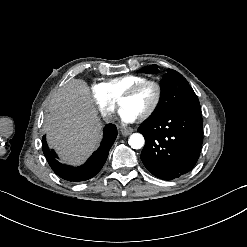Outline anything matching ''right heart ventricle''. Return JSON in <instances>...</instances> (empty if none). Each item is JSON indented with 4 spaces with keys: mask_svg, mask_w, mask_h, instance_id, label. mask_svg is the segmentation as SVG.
<instances>
[{
    "mask_svg": "<svg viewBox=\"0 0 247 247\" xmlns=\"http://www.w3.org/2000/svg\"><path fill=\"white\" fill-rule=\"evenodd\" d=\"M145 79L137 76H124L117 79L110 80L105 88L111 98L120 97L129 92L136 85Z\"/></svg>",
    "mask_w": 247,
    "mask_h": 247,
    "instance_id": "e07e8e85",
    "label": "right heart ventricle"
}]
</instances>
